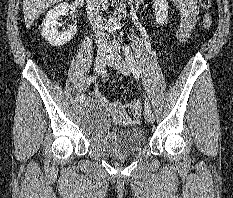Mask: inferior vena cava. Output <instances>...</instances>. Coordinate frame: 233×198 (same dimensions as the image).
<instances>
[{
	"label": "inferior vena cava",
	"mask_w": 233,
	"mask_h": 198,
	"mask_svg": "<svg viewBox=\"0 0 233 198\" xmlns=\"http://www.w3.org/2000/svg\"><path fill=\"white\" fill-rule=\"evenodd\" d=\"M86 3L88 19L90 20L95 29L98 50L107 51L109 50L110 46L107 40V36L104 33V29L100 25L102 23L100 3L98 2V0H86Z\"/></svg>",
	"instance_id": "inferior-vena-cava-1"
}]
</instances>
